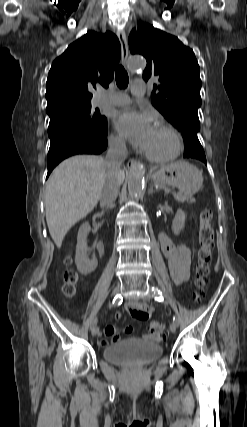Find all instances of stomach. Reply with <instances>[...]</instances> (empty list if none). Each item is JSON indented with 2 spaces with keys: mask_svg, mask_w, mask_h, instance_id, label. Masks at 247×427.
Returning a JSON list of instances; mask_svg holds the SVG:
<instances>
[{
  "mask_svg": "<svg viewBox=\"0 0 247 427\" xmlns=\"http://www.w3.org/2000/svg\"><path fill=\"white\" fill-rule=\"evenodd\" d=\"M156 184L172 185L179 189L185 196L192 197L202 187V173L192 164L178 160L162 167L152 176Z\"/></svg>",
  "mask_w": 247,
  "mask_h": 427,
  "instance_id": "obj_1",
  "label": "stomach"
}]
</instances>
